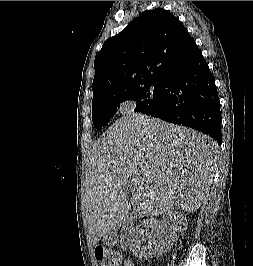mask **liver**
<instances>
[{
	"label": "liver",
	"mask_w": 253,
	"mask_h": 266,
	"mask_svg": "<svg viewBox=\"0 0 253 266\" xmlns=\"http://www.w3.org/2000/svg\"><path fill=\"white\" fill-rule=\"evenodd\" d=\"M218 146L209 136L144 115L116 121L93 145L85 176V219L97 244L132 216L197 211L207 195ZM131 178L142 190L132 192Z\"/></svg>",
	"instance_id": "6515ba94"
}]
</instances>
